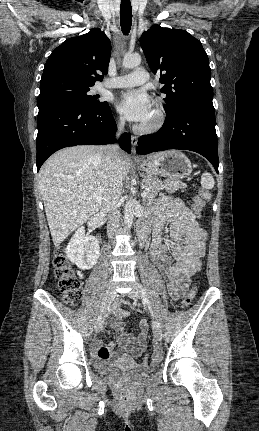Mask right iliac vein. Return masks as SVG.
Here are the masks:
<instances>
[{
  "label": "right iliac vein",
  "mask_w": 259,
  "mask_h": 431,
  "mask_svg": "<svg viewBox=\"0 0 259 431\" xmlns=\"http://www.w3.org/2000/svg\"><path fill=\"white\" fill-rule=\"evenodd\" d=\"M115 297V290H114V286L113 284L110 282L108 283L107 287H106V291L104 294V300H103V304L101 307V311L98 315V317L96 318L95 321V331L98 332L101 330L103 323H104V318H105V313L107 308L109 307V305L111 304V302L113 301Z\"/></svg>",
  "instance_id": "obj_1"
}]
</instances>
